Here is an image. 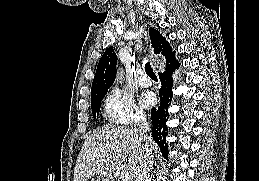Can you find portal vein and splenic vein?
Segmentation results:
<instances>
[{"label":"portal vein and splenic vein","instance_id":"obj_1","mask_svg":"<svg viewBox=\"0 0 259 181\" xmlns=\"http://www.w3.org/2000/svg\"><path fill=\"white\" fill-rule=\"evenodd\" d=\"M130 177H129V173L126 172V171H123L121 174H120V180L121 181H129Z\"/></svg>","mask_w":259,"mask_h":181}]
</instances>
